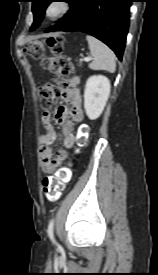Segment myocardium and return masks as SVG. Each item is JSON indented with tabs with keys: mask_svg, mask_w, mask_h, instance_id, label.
<instances>
[{
	"mask_svg": "<svg viewBox=\"0 0 158 275\" xmlns=\"http://www.w3.org/2000/svg\"><path fill=\"white\" fill-rule=\"evenodd\" d=\"M53 9H57L53 12ZM71 9L70 3L66 0L50 1L44 8V17L55 21L66 15Z\"/></svg>",
	"mask_w": 158,
	"mask_h": 275,
	"instance_id": "f54148a6",
	"label": "myocardium"
}]
</instances>
